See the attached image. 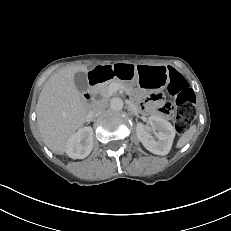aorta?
Listing matches in <instances>:
<instances>
[{
    "mask_svg": "<svg viewBox=\"0 0 231 231\" xmlns=\"http://www.w3.org/2000/svg\"><path fill=\"white\" fill-rule=\"evenodd\" d=\"M123 100L121 98H118V97H113L111 100H110V108L113 110V111H120L123 109Z\"/></svg>",
    "mask_w": 231,
    "mask_h": 231,
    "instance_id": "aorta-1",
    "label": "aorta"
}]
</instances>
